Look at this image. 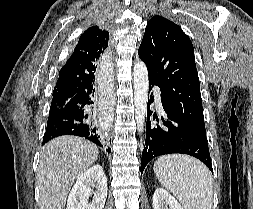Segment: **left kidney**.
I'll return each instance as SVG.
<instances>
[{"label": "left kidney", "mask_w": 253, "mask_h": 209, "mask_svg": "<svg viewBox=\"0 0 253 209\" xmlns=\"http://www.w3.org/2000/svg\"><path fill=\"white\" fill-rule=\"evenodd\" d=\"M152 204L154 209H183L178 201L163 188L155 190Z\"/></svg>", "instance_id": "obj_1"}]
</instances>
